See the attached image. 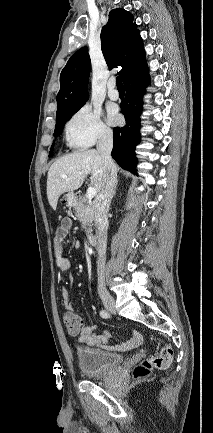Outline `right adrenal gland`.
Instances as JSON below:
<instances>
[{
  "label": "right adrenal gland",
  "instance_id": "obj_1",
  "mask_svg": "<svg viewBox=\"0 0 213 433\" xmlns=\"http://www.w3.org/2000/svg\"><path fill=\"white\" fill-rule=\"evenodd\" d=\"M117 183H118V182H116V184H115V186H114L112 197H114V196L116 195V186H117Z\"/></svg>",
  "mask_w": 213,
  "mask_h": 433
}]
</instances>
